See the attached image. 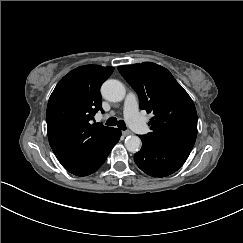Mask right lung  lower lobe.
<instances>
[{"mask_svg":"<svg viewBox=\"0 0 243 243\" xmlns=\"http://www.w3.org/2000/svg\"><path fill=\"white\" fill-rule=\"evenodd\" d=\"M121 131L115 129L106 141L84 162L67 169L76 176H87L97 171L105 162L114 145L119 141Z\"/></svg>","mask_w":243,"mask_h":243,"instance_id":"obj_1","label":"right lung lower lobe"}]
</instances>
